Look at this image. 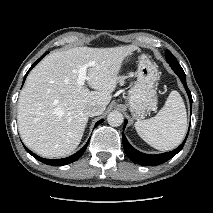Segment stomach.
Masks as SVG:
<instances>
[{
    "label": "stomach",
    "instance_id": "1",
    "mask_svg": "<svg viewBox=\"0 0 213 213\" xmlns=\"http://www.w3.org/2000/svg\"><path fill=\"white\" fill-rule=\"evenodd\" d=\"M158 77L157 66L146 55L140 56L137 80L127 94V106L134 118H142L147 112L156 108L155 83Z\"/></svg>",
    "mask_w": 213,
    "mask_h": 213
}]
</instances>
